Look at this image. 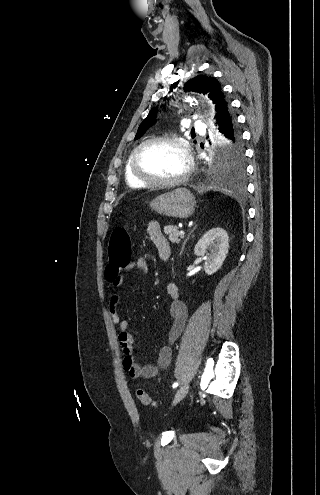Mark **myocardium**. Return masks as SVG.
Instances as JSON below:
<instances>
[{
  "label": "myocardium",
  "mask_w": 320,
  "mask_h": 495,
  "mask_svg": "<svg viewBox=\"0 0 320 495\" xmlns=\"http://www.w3.org/2000/svg\"><path fill=\"white\" fill-rule=\"evenodd\" d=\"M158 142H168L172 143L180 148L182 151L184 158H185V168L181 175L174 179H157V178H152L144 173H142L139 169L138 166V157L140 152L148 145L153 144V143H158ZM130 169L133 174V176L150 186H176L181 183H183L189 176L191 170H192V156H191V151L189 148L188 143L178 137L171 136V135H160L156 137H152L149 139H146L143 141L141 144H139L134 151L131 154L130 158Z\"/></svg>",
  "instance_id": "f54148a6"
}]
</instances>
